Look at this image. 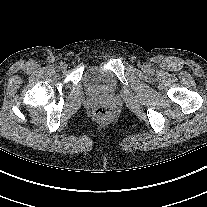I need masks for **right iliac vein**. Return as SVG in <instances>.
<instances>
[{
    "instance_id": "1",
    "label": "right iliac vein",
    "mask_w": 207,
    "mask_h": 207,
    "mask_svg": "<svg viewBox=\"0 0 207 207\" xmlns=\"http://www.w3.org/2000/svg\"><path fill=\"white\" fill-rule=\"evenodd\" d=\"M67 68V65L65 64V63H62L61 65H60V69L61 70H65Z\"/></svg>"
}]
</instances>
